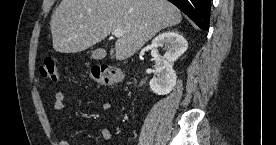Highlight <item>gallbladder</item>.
I'll list each match as a JSON object with an SVG mask.
<instances>
[{
    "label": "gallbladder",
    "mask_w": 276,
    "mask_h": 145,
    "mask_svg": "<svg viewBox=\"0 0 276 145\" xmlns=\"http://www.w3.org/2000/svg\"><path fill=\"white\" fill-rule=\"evenodd\" d=\"M105 55H106L105 50L99 48V49H96V50H94V51L92 52V56H91V57H92L93 59L100 60V59H103V58L105 57Z\"/></svg>",
    "instance_id": "bac80fb5"
}]
</instances>
